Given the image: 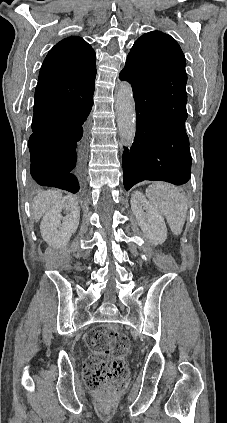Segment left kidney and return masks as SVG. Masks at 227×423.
Segmentation results:
<instances>
[{
    "label": "left kidney",
    "instance_id": "5707ae66",
    "mask_svg": "<svg viewBox=\"0 0 227 423\" xmlns=\"http://www.w3.org/2000/svg\"><path fill=\"white\" fill-rule=\"evenodd\" d=\"M131 210L133 211L143 233L158 245L164 243L167 237V227L163 215L150 206L141 192H133L131 196Z\"/></svg>",
    "mask_w": 227,
    "mask_h": 423
}]
</instances>
